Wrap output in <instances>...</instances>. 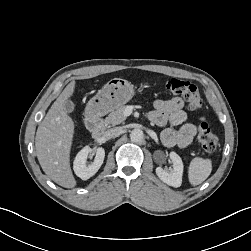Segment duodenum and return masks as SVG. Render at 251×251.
Returning a JSON list of instances; mask_svg holds the SVG:
<instances>
[{
  "instance_id": "duodenum-1",
  "label": "duodenum",
  "mask_w": 251,
  "mask_h": 251,
  "mask_svg": "<svg viewBox=\"0 0 251 251\" xmlns=\"http://www.w3.org/2000/svg\"><path fill=\"white\" fill-rule=\"evenodd\" d=\"M86 125L94 139L100 138L104 133L105 127L102 117L96 110L92 109L89 111L86 119Z\"/></svg>"
}]
</instances>
